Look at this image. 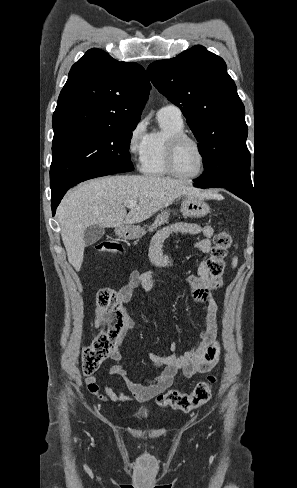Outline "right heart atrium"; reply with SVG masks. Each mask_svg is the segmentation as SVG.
Returning a JSON list of instances; mask_svg holds the SVG:
<instances>
[{
    "label": "right heart atrium",
    "instance_id": "right-heart-atrium-1",
    "mask_svg": "<svg viewBox=\"0 0 297 488\" xmlns=\"http://www.w3.org/2000/svg\"><path fill=\"white\" fill-rule=\"evenodd\" d=\"M147 136L144 120H139L134 124L128 135V153L138 164H141L146 152Z\"/></svg>",
    "mask_w": 297,
    "mask_h": 488
}]
</instances>
